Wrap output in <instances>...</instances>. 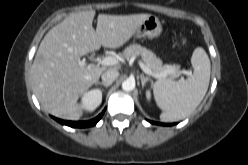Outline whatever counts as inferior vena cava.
<instances>
[{
	"mask_svg": "<svg viewBox=\"0 0 248 165\" xmlns=\"http://www.w3.org/2000/svg\"><path fill=\"white\" fill-rule=\"evenodd\" d=\"M119 76V72L114 69H108L102 74V81L104 83L112 84Z\"/></svg>",
	"mask_w": 248,
	"mask_h": 165,
	"instance_id": "inferior-vena-cava-1",
	"label": "inferior vena cava"
}]
</instances>
